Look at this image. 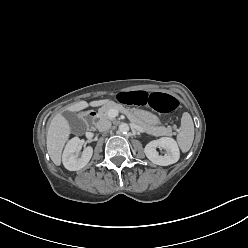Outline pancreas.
Listing matches in <instances>:
<instances>
[{
  "instance_id": "cf45deb5",
  "label": "pancreas",
  "mask_w": 248,
  "mask_h": 248,
  "mask_svg": "<svg viewBox=\"0 0 248 248\" xmlns=\"http://www.w3.org/2000/svg\"><path fill=\"white\" fill-rule=\"evenodd\" d=\"M110 109L118 110L124 114H126L129 118V120L133 123L138 124L141 126L147 133L160 136V135H166V136H172V129L170 127L165 128L164 126H151L143 121H141L132 110L125 108L124 106L117 104L115 102H109L99 108L98 110V117L100 119H111L108 115V112Z\"/></svg>"
}]
</instances>
